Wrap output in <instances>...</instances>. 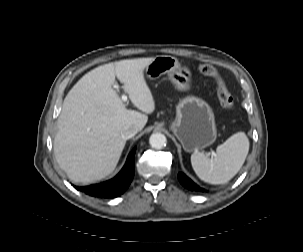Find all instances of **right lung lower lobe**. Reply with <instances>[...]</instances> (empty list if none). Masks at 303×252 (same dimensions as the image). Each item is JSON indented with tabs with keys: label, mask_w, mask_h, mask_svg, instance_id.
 Wrapping results in <instances>:
<instances>
[{
	"label": "right lung lower lobe",
	"mask_w": 303,
	"mask_h": 252,
	"mask_svg": "<svg viewBox=\"0 0 303 252\" xmlns=\"http://www.w3.org/2000/svg\"><path fill=\"white\" fill-rule=\"evenodd\" d=\"M134 156L135 149L129 154L123 169L113 179L101 184L75 188L90 196L100 198H113L123 194L127 190L134 176Z\"/></svg>",
	"instance_id": "obj_1"
}]
</instances>
